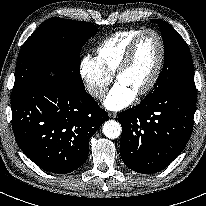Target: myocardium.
Wrapping results in <instances>:
<instances>
[{"label":"myocardium","mask_w":206,"mask_h":206,"mask_svg":"<svg viewBox=\"0 0 206 206\" xmlns=\"http://www.w3.org/2000/svg\"><path fill=\"white\" fill-rule=\"evenodd\" d=\"M146 34H153L157 37L158 41H159V45H160V54H159V59H158V63L156 65V68L154 70V73L151 77V79L149 80V82L147 83V85L141 89L136 95L137 97H142L147 95L148 93H150L153 88L155 87V85L157 84L160 75L162 73V69L164 66V62H165V56H166V47H165V42L164 39L162 37V35L154 30V29H144L142 30L130 43V45L128 46L125 55L123 56L122 60L120 61L115 73H114V79L117 81L118 77L123 74L127 68L129 67L130 63L133 60V57L135 55V51L137 49V46L141 40V38L146 35Z\"/></svg>","instance_id":"obj_1"}]
</instances>
